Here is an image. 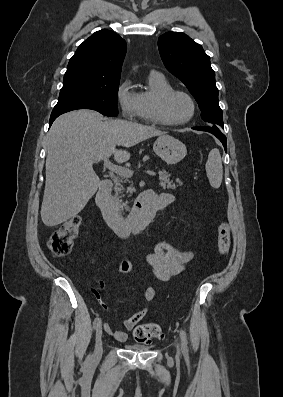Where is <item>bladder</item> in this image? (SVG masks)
I'll return each instance as SVG.
<instances>
[{
  "label": "bladder",
  "instance_id": "1",
  "mask_svg": "<svg viewBox=\"0 0 283 397\" xmlns=\"http://www.w3.org/2000/svg\"><path fill=\"white\" fill-rule=\"evenodd\" d=\"M128 349L133 350V351H137V352H145L148 351L152 348V346L150 345H128L127 346Z\"/></svg>",
  "mask_w": 283,
  "mask_h": 397
}]
</instances>
